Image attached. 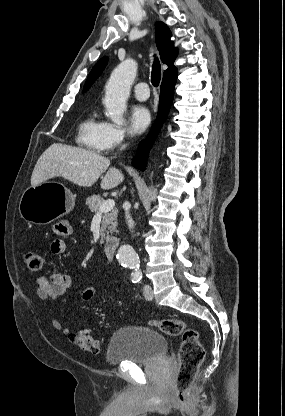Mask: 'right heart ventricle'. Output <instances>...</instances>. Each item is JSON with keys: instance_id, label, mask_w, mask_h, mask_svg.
I'll return each mask as SVG.
<instances>
[{"instance_id": "right-heart-ventricle-1", "label": "right heart ventricle", "mask_w": 285, "mask_h": 416, "mask_svg": "<svg viewBox=\"0 0 285 416\" xmlns=\"http://www.w3.org/2000/svg\"><path fill=\"white\" fill-rule=\"evenodd\" d=\"M104 127V120L97 112L92 111L87 114L79 125L78 143L94 152H99V138Z\"/></svg>"}]
</instances>
